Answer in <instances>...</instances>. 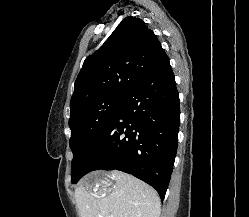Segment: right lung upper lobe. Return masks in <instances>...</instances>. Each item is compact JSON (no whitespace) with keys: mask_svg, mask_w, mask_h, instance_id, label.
<instances>
[{"mask_svg":"<svg viewBox=\"0 0 249 217\" xmlns=\"http://www.w3.org/2000/svg\"><path fill=\"white\" fill-rule=\"evenodd\" d=\"M165 55L145 23L126 17L93 54L77 76L70 110L105 95H124Z\"/></svg>","mask_w":249,"mask_h":217,"instance_id":"cb5924a9","label":"right lung upper lobe"}]
</instances>
